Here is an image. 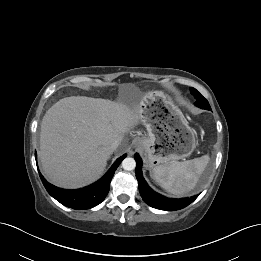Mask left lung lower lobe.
<instances>
[{
	"label": "left lung lower lobe",
	"instance_id": "obj_1",
	"mask_svg": "<svg viewBox=\"0 0 261 261\" xmlns=\"http://www.w3.org/2000/svg\"><path fill=\"white\" fill-rule=\"evenodd\" d=\"M134 158L136 160L135 173L139 183L141 197L145 203L151 207L166 211L179 210L191 204L198 197V195H195L190 198L171 199L156 193L147 185L145 179L142 176V160L140 156L136 153Z\"/></svg>",
	"mask_w": 261,
	"mask_h": 261
}]
</instances>
